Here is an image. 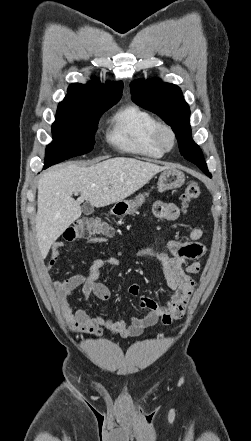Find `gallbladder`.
Segmentation results:
<instances>
[{"label": "gallbladder", "mask_w": 251, "mask_h": 441, "mask_svg": "<svg viewBox=\"0 0 251 441\" xmlns=\"http://www.w3.org/2000/svg\"><path fill=\"white\" fill-rule=\"evenodd\" d=\"M82 212L85 215H90L94 212V206L92 204H90L89 202H86L82 206Z\"/></svg>", "instance_id": "obj_1"}]
</instances>
